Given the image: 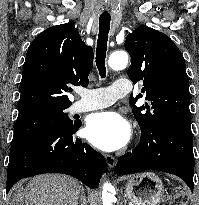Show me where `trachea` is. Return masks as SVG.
Segmentation results:
<instances>
[{
  "label": "trachea",
  "instance_id": "1",
  "mask_svg": "<svg viewBox=\"0 0 199 205\" xmlns=\"http://www.w3.org/2000/svg\"><path fill=\"white\" fill-rule=\"evenodd\" d=\"M110 17H99V34L96 48V66L101 78L106 77L105 58L107 51L108 33L110 30Z\"/></svg>",
  "mask_w": 199,
  "mask_h": 205
}]
</instances>
